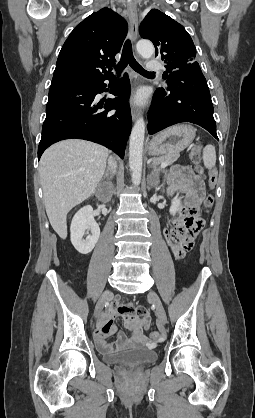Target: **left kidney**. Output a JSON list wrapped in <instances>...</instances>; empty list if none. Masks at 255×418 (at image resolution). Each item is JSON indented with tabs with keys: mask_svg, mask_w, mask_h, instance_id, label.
I'll return each mask as SVG.
<instances>
[{
	"mask_svg": "<svg viewBox=\"0 0 255 418\" xmlns=\"http://www.w3.org/2000/svg\"><path fill=\"white\" fill-rule=\"evenodd\" d=\"M181 198L177 195L172 199V204L170 207V213L175 215L181 209Z\"/></svg>",
	"mask_w": 255,
	"mask_h": 418,
	"instance_id": "5707ae66",
	"label": "left kidney"
}]
</instances>
